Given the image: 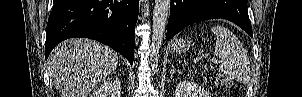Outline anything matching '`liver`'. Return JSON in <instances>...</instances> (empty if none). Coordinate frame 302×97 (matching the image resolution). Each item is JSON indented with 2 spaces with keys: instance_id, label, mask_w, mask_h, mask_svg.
<instances>
[{
  "instance_id": "6515ba94",
  "label": "liver",
  "mask_w": 302,
  "mask_h": 97,
  "mask_svg": "<svg viewBox=\"0 0 302 97\" xmlns=\"http://www.w3.org/2000/svg\"><path fill=\"white\" fill-rule=\"evenodd\" d=\"M48 65L60 97H88L116 70L118 54L90 39H68L51 52Z\"/></svg>"
}]
</instances>
